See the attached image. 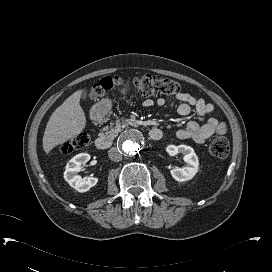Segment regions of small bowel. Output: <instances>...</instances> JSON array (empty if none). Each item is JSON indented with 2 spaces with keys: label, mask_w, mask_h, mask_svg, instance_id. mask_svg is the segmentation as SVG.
<instances>
[{
  "label": "small bowel",
  "mask_w": 272,
  "mask_h": 272,
  "mask_svg": "<svg viewBox=\"0 0 272 272\" xmlns=\"http://www.w3.org/2000/svg\"><path fill=\"white\" fill-rule=\"evenodd\" d=\"M176 98L180 101L177 108L179 115L188 116L191 113V107H194L198 116L207 118L203 125H199L193 120L188 121L184 128L176 132L178 139H192L198 143H203L213 135H224L227 133L228 127L225 122L210 117L214 112L213 104L206 102L201 97L183 92L179 93ZM154 104L166 106L167 102L163 98H159L156 101L146 99L143 102L144 107H151Z\"/></svg>",
  "instance_id": "obj_1"
}]
</instances>
